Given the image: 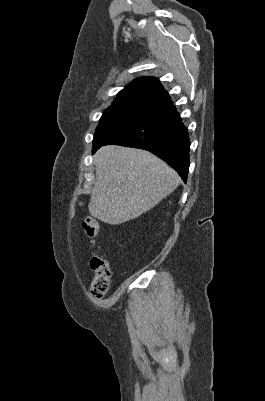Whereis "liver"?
Segmentation results:
<instances>
[{"label":"liver","mask_w":265,"mask_h":401,"mask_svg":"<svg viewBox=\"0 0 265 401\" xmlns=\"http://www.w3.org/2000/svg\"><path fill=\"white\" fill-rule=\"evenodd\" d=\"M96 180L88 209L91 217L120 225L140 217L177 188L180 178L148 150L102 146L94 154Z\"/></svg>","instance_id":"obj_1"}]
</instances>
